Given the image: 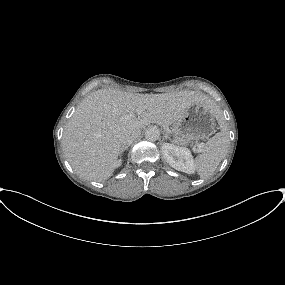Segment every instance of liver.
I'll list each match as a JSON object with an SVG mask.
<instances>
[{
	"label": "liver",
	"mask_w": 285,
	"mask_h": 285,
	"mask_svg": "<svg viewBox=\"0 0 285 285\" xmlns=\"http://www.w3.org/2000/svg\"><path fill=\"white\" fill-rule=\"evenodd\" d=\"M197 103L212 109L217 117L216 105L194 91L139 94L97 90L82 101L64 128L65 156L81 177L98 182L107 180L120 155L121 135L140 134L150 123L167 128ZM138 110L143 112L137 117L134 113Z\"/></svg>",
	"instance_id": "obj_1"
}]
</instances>
